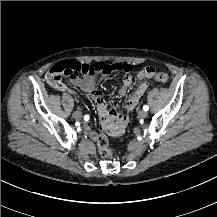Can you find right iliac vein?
Listing matches in <instances>:
<instances>
[{
	"label": "right iliac vein",
	"instance_id": "right-iliac-vein-1",
	"mask_svg": "<svg viewBox=\"0 0 217 217\" xmlns=\"http://www.w3.org/2000/svg\"><path fill=\"white\" fill-rule=\"evenodd\" d=\"M73 117H74L76 120H79V119L82 118V114H81V112H79V111H75V112L73 113Z\"/></svg>",
	"mask_w": 217,
	"mask_h": 217
}]
</instances>
